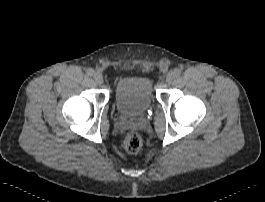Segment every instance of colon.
<instances>
[{
  "mask_svg": "<svg viewBox=\"0 0 265 202\" xmlns=\"http://www.w3.org/2000/svg\"><path fill=\"white\" fill-rule=\"evenodd\" d=\"M142 142L141 135L137 132H132L124 140L125 150L130 154H135L141 149Z\"/></svg>",
  "mask_w": 265,
  "mask_h": 202,
  "instance_id": "1",
  "label": "colon"
}]
</instances>
